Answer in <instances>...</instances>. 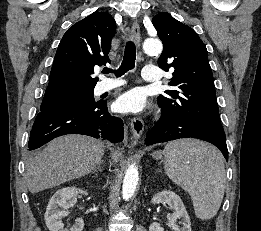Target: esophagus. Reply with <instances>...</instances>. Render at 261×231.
I'll return each instance as SVG.
<instances>
[{
	"mask_svg": "<svg viewBox=\"0 0 261 231\" xmlns=\"http://www.w3.org/2000/svg\"><path fill=\"white\" fill-rule=\"evenodd\" d=\"M131 37L133 41L136 43V45L140 46V27L137 21H134L132 23L131 29H130ZM131 130L133 134L134 139H139L144 131V122L139 117H133L131 119Z\"/></svg>",
	"mask_w": 261,
	"mask_h": 231,
	"instance_id": "1",
	"label": "esophagus"
}]
</instances>
